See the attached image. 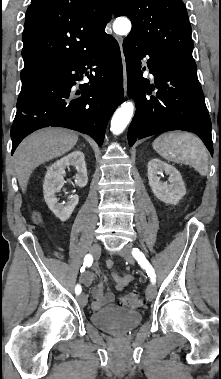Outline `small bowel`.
Segmentation results:
<instances>
[{"instance_id":"obj_1","label":"small bowel","mask_w":221,"mask_h":379,"mask_svg":"<svg viewBox=\"0 0 221 379\" xmlns=\"http://www.w3.org/2000/svg\"><path fill=\"white\" fill-rule=\"evenodd\" d=\"M106 267L111 269L113 267V262L111 260H107ZM112 277L115 281V288L119 292L123 291L133 279V277L128 274L120 275L117 273H112ZM80 279L85 286L91 285L94 280L97 281L96 285L92 289V296L94 298L92 308L94 310H98L102 306L111 303L114 300L113 292L109 288L106 291L104 290V286L107 284L106 277L97 266H93L91 268V272L83 271Z\"/></svg>"}]
</instances>
